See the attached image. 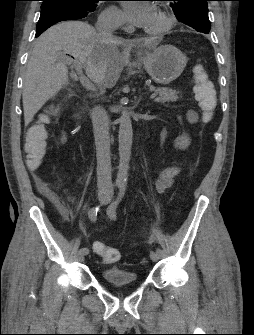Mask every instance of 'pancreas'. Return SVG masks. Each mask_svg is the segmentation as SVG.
Returning a JSON list of instances; mask_svg holds the SVG:
<instances>
[{
  "label": "pancreas",
  "mask_w": 254,
  "mask_h": 335,
  "mask_svg": "<svg viewBox=\"0 0 254 335\" xmlns=\"http://www.w3.org/2000/svg\"><path fill=\"white\" fill-rule=\"evenodd\" d=\"M152 91L158 94V97L155 98V102L158 103H169L176 102L179 99V92L173 89L166 87L153 88Z\"/></svg>",
  "instance_id": "pancreas-1"
}]
</instances>
